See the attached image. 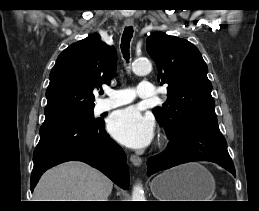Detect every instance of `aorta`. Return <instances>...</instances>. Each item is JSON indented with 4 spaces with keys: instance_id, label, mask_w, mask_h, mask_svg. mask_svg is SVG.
<instances>
[{
    "instance_id": "762f6f07",
    "label": "aorta",
    "mask_w": 259,
    "mask_h": 211,
    "mask_svg": "<svg viewBox=\"0 0 259 211\" xmlns=\"http://www.w3.org/2000/svg\"><path fill=\"white\" fill-rule=\"evenodd\" d=\"M152 69V64L148 59H140L133 63L132 70L136 75H146ZM132 201H145L144 191L141 184H136L132 191Z\"/></svg>"
}]
</instances>
